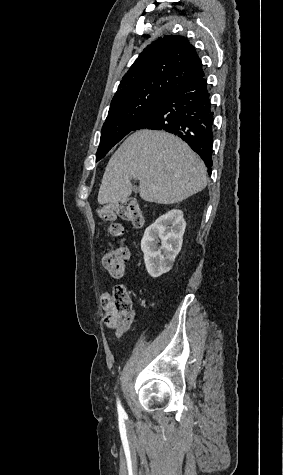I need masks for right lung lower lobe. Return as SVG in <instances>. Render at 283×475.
Returning a JSON list of instances; mask_svg holds the SVG:
<instances>
[{
	"label": "right lung lower lobe",
	"mask_w": 283,
	"mask_h": 475,
	"mask_svg": "<svg viewBox=\"0 0 283 475\" xmlns=\"http://www.w3.org/2000/svg\"><path fill=\"white\" fill-rule=\"evenodd\" d=\"M214 112L205 76L176 86L133 128L163 130L184 140L211 174Z\"/></svg>",
	"instance_id": "obj_1"
}]
</instances>
